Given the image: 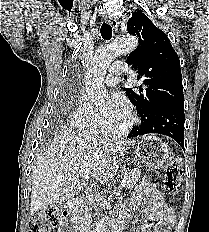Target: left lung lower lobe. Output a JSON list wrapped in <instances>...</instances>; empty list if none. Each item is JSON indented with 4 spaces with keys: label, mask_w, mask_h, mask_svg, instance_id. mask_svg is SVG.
<instances>
[{
    "label": "left lung lower lobe",
    "mask_w": 209,
    "mask_h": 232,
    "mask_svg": "<svg viewBox=\"0 0 209 232\" xmlns=\"http://www.w3.org/2000/svg\"><path fill=\"white\" fill-rule=\"evenodd\" d=\"M184 119L183 103L159 107L141 118L140 126L134 127L128 138L157 133L171 137L184 149Z\"/></svg>",
    "instance_id": "left-lung-lower-lobe-1"
}]
</instances>
